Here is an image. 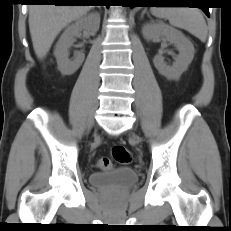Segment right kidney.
<instances>
[{"instance_id": "right-kidney-1", "label": "right kidney", "mask_w": 231, "mask_h": 231, "mask_svg": "<svg viewBox=\"0 0 231 231\" xmlns=\"http://www.w3.org/2000/svg\"><path fill=\"white\" fill-rule=\"evenodd\" d=\"M100 15L91 13L79 18L74 24L68 26L56 44L54 55L57 60L58 69L63 75L74 74L83 63L85 55L77 52L72 59H69V48L82 30L94 33L99 30Z\"/></svg>"}]
</instances>
